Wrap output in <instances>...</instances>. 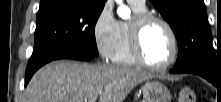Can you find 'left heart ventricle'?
Returning <instances> with one entry per match:
<instances>
[{
  "label": "left heart ventricle",
  "instance_id": "left-heart-ventricle-1",
  "mask_svg": "<svg viewBox=\"0 0 221 102\" xmlns=\"http://www.w3.org/2000/svg\"><path fill=\"white\" fill-rule=\"evenodd\" d=\"M142 43L146 58L153 64H164L172 55L173 45L170 34L159 23H153L145 29Z\"/></svg>",
  "mask_w": 221,
  "mask_h": 102
}]
</instances>
